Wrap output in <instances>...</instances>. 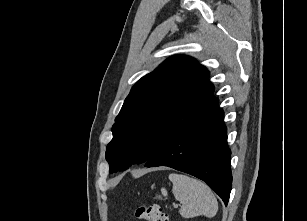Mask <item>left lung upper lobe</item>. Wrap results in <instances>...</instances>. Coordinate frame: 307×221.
<instances>
[{"mask_svg":"<svg viewBox=\"0 0 307 221\" xmlns=\"http://www.w3.org/2000/svg\"><path fill=\"white\" fill-rule=\"evenodd\" d=\"M209 71L176 55L131 89L112 127L106 160L110 173L147 162L171 138L212 108L218 99Z\"/></svg>","mask_w":307,"mask_h":221,"instance_id":"1","label":"left lung upper lobe"}]
</instances>
